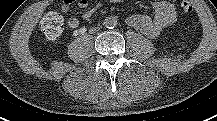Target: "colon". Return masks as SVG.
<instances>
[{"instance_id": "obj_1", "label": "colon", "mask_w": 217, "mask_h": 121, "mask_svg": "<svg viewBox=\"0 0 217 121\" xmlns=\"http://www.w3.org/2000/svg\"><path fill=\"white\" fill-rule=\"evenodd\" d=\"M180 3L185 8L189 7L190 4L188 0H180ZM42 29L49 37L60 36L64 31L63 16L56 11L49 12L42 21Z\"/></svg>"}]
</instances>
